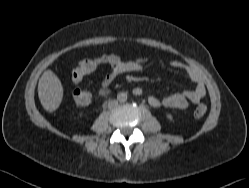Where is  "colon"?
Here are the masks:
<instances>
[{"mask_svg": "<svg viewBox=\"0 0 249 188\" xmlns=\"http://www.w3.org/2000/svg\"><path fill=\"white\" fill-rule=\"evenodd\" d=\"M113 56H104L100 59H83L72 70V80L77 83L83 77L92 73L97 64L106 63L112 59ZM73 101L78 106H85L91 101V93L87 89H76L72 94ZM207 107L204 104H199L194 110V116L200 118L205 115Z\"/></svg>", "mask_w": 249, "mask_h": 188, "instance_id": "5ec220e1", "label": "colon"}]
</instances>
